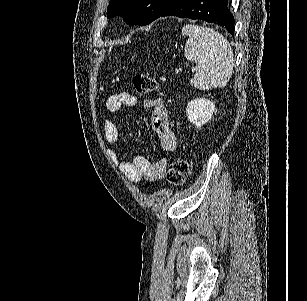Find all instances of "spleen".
<instances>
[{"label": "spleen", "instance_id": "spleen-1", "mask_svg": "<svg viewBox=\"0 0 307 301\" xmlns=\"http://www.w3.org/2000/svg\"><path fill=\"white\" fill-rule=\"evenodd\" d=\"M188 36L184 54L195 62L192 86L199 90L223 88L229 82L234 66L233 50L226 36L207 26L185 24L181 32ZM188 66V64H186Z\"/></svg>", "mask_w": 307, "mask_h": 301}]
</instances>
